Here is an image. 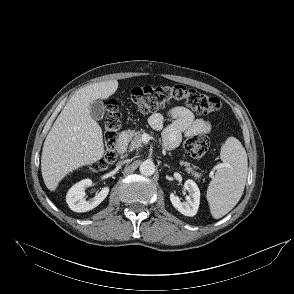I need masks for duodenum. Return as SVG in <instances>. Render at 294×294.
<instances>
[{"instance_id":"410a0bca","label":"duodenum","mask_w":294,"mask_h":294,"mask_svg":"<svg viewBox=\"0 0 294 294\" xmlns=\"http://www.w3.org/2000/svg\"><path fill=\"white\" fill-rule=\"evenodd\" d=\"M130 132L129 130H124L120 133L117 143H116V151L120 156L127 155V147L129 142Z\"/></svg>"}]
</instances>
